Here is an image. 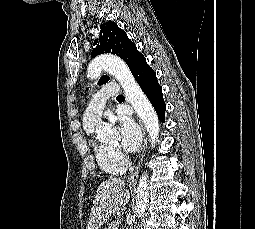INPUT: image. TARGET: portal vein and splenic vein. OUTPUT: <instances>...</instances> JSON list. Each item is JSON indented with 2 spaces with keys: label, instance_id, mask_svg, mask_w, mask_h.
<instances>
[{
  "label": "portal vein and splenic vein",
  "instance_id": "obj_1",
  "mask_svg": "<svg viewBox=\"0 0 255 229\" xmlns=\"http://www.w3.org/2000/svg\"><path fill=\"white\" fill-rule=\"evenodd\" d=\"M114 229H118V227L117 226H115V228Z\"/></svg>",
  "mask_w": 255,
  "mask_h": 229
}]
</instances>
